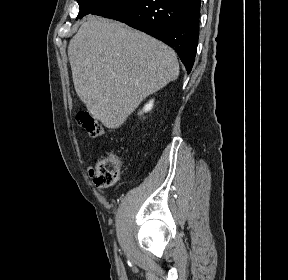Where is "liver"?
I'll use <instances>...</instances> for the list:
<instances>
[{
  "mask_svg": "<svg viewBox=\"0 0 288 280\" xmlns=\"http://www.w3.org/2000/svg\"><path fill=\"white\" fill-rule=\"evenodd\" d=\"M77 95L107 128H119L149 95L179 75L175 52L122 23L89 16L70 40Z\"/></svg>",
  "mask_w": 288,
  "mask_h": 280,
  "instance_id": "liver-1",
  "label": "liver"
}]
</instances>
